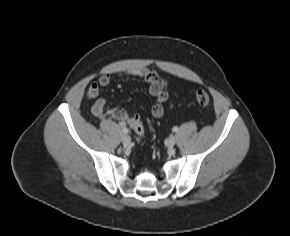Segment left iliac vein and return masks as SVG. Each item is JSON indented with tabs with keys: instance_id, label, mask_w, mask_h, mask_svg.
Wrapping results in <instances>:
<instances>
[{
	"instance_id": "1",
	"label": "left iliac vein",
	"mask_w": 290,
	"mask_h": 236,
	"mask_svg": "<svg viewBox=\"0 0 290 236\" xmlns=\"http://www.w3.org/2000/svg\"><path fill=\"white\" fill-rule=\"evenodd\" d=\"M177 138L176 136L172 135L168 139V146L172 148L176 144Z\"/></svg>"
}]
</instances>
